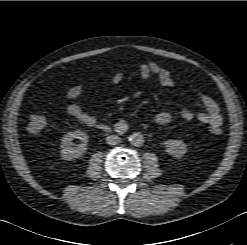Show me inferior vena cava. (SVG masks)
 I'll list each match as a JSON object with an SVG mask.
<instances>
[{"label": "inferior vena cava", "instance_id": "602c4592", "mask_svg": "<svg viewBox=\"0 0 247 245\" xmlns=\"http://www.w3.org/2000/svg\"><path fill=\"white\" fill-rule=\"evenodd\" d=\"M120 138L117 135H108L106 138V142L109 145H116L120 142Z\"/></svg>", "mask_w": 247, "mask_h": 245}]
</instances>
